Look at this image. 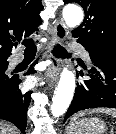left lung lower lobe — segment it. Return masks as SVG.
<instances>
[{
	"label": "left lung lower lobe",
	"instance_id": "0a47b994",
	"mask_svg": "<svg viewBox=\"0 0 116 134\" xmlns=\"http://www.w3.org/2000/svg\"><path fill=\"white\" fill-rule=\"evenodd\" d=\"M89 55L93 67L87 73L80 71L77 76L87 75L90 79L77 84L64 122L73 114L85 109L116 108V56L90 52Z\"/></svg>",
	"mask_w": 116,
	"mask_h": 134
}]
</instances>
